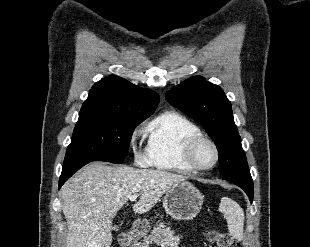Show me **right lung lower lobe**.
I'll return each instance as SVG.
<instances>
[{
	"mask_svg": "<svg viewBox=\"0 0 310 247\" xmlns=\"http://www.w3.org/2000/svg\"><path fill=\"white\" fill-rule=\"evenodd\" d=\"M91 161H81L63 166V170L59 180V189L76 171Z\"/></svg>",
	"mask_w": 310,
	"mask_h": 247,
	"instance_id": "obj_1",
	"label": "right lung lower lobe"
}]
</instances>
